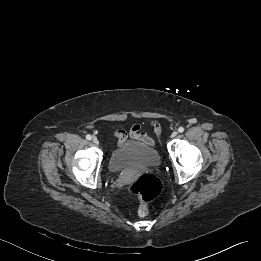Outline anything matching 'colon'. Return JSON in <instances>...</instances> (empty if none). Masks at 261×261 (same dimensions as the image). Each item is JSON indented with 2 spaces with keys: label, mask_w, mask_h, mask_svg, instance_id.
Listing matches in <instances>:
<instances>
[{
  "label": "colon",
  "mask_w": 261,
  "mask_h": 261,
  "mask_svg": "<svg viewBox=\"0 0 261 261\" xmlns=\"http://www.w3.org/2000/svg\"><path fill=\"white\" fill-rule=\"evenodd\" d=\"M129 190L139 196L138 215L141 218H145L149 214L148 204L161 193L162 184L155 176L142 174L131 182Z\"/></svg>",
  "instance_id": "colon-1"
}]
</instances>
